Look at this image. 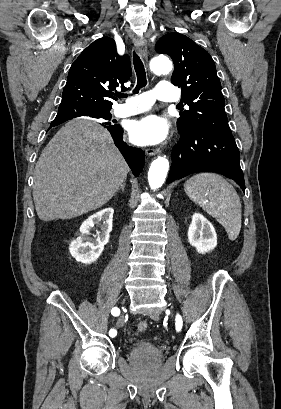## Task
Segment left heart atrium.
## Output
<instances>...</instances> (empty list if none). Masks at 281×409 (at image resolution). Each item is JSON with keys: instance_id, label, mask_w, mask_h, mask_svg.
Listing matches in <instances>:
<instances>
[{"instance_id": "39dd6f15", "label": "left heart atrium", "mask_w": 281, "mask_h": 409, "mask_svg": "<svg viewBox=\"0 0 281 409\" xmlns=\"http://www.w3.org/2000/svg\"><path fill=\"white\" fill-rule=\"evenodd\" d=\"M168 137L165 120L154 114H146L134 120L130 126V138L139 146H154L163 143Z\"/></svg>"}]
</instances>
